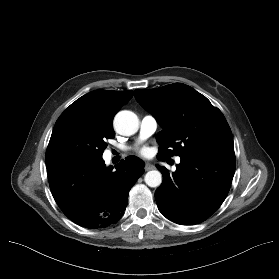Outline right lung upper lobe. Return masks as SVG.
<instances>
[{"mask_svg": "<svg viewBox=\"0 0 279 279\" xmlns=\"http://www.w3.org/2000/svg\"><path fill=\"white\" fill-rule=\"evenodd\" d=\"M132 96L133 91H93L73 102L60 117L79 115L94 122L104 131L113 132L115 114Z\"/></svg>", "mask_w": 279, "mask_h": 279, "instance_id": "1", "label": "right lung upper lobe"}]
</instances>
